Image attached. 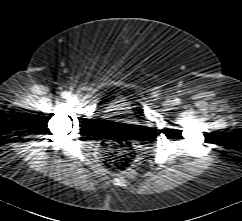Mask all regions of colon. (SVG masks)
<instances>
[{"label":"colon","instance_id":"obj_1","mask_svg":"<svg viewBox=\"0 0 242 221\" xmlns=\"http://www.w3.org/2000/svg\"><path fill=\"white\" fill-rule=\"evenodd\" d=\"M101 163L105 169L113 173L128 170L136 161V149L128 141L113 140L100 147Z\"/></svg>","mask_w":242,"mask_h":221}]
</instances>
